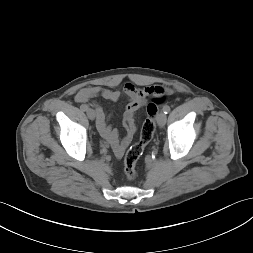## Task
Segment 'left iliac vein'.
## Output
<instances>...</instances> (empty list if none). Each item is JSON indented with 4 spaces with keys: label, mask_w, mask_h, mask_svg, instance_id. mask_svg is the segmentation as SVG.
Masks as SVG:
<instances>
[{
    "label": "left iliac vein",
    "mask_w": 253,
    "mask_h": 253,
    "mask_svg": "<svg viewBox=\"0 0 253 253\" xmlns=\"http://www.w3.org/2000/svg\"><path fill=\"white\" fill-rule=\"evenodd\" d=\"M166 120H167V117H166L164 112H160L157 115V123H158L159 126H164L165 123H166Z\"/></svg>",
    "instance_id": "obj_1"
}]
</instances>
